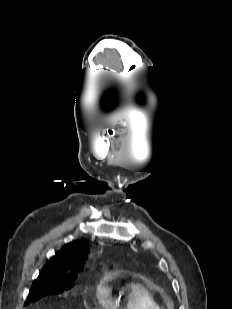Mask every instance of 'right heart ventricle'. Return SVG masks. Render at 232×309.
Wrapping results in <instances>:
<instances>
[{"mask_svg":"<svg viewBox=\"0 0 232 309\" xmlns=\"http://www.w3.org/2000/svg\"><path fill=\"white\" fill-rule=\"evenodd\" d=\"M120 297L123 299L122 305L109 299L103 307L105 309H161L151 293L138 283L126 285Z\"/></svg>","mask_w":232,"mask_h":309,"instance_id":"e07e8e85","label":"right heart ventricle"}]
</instances>
